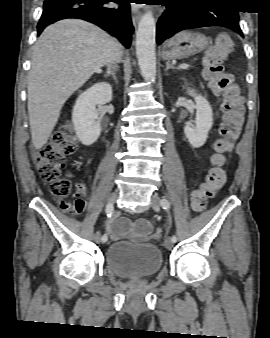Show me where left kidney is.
<instances>
[{
	"label": "left kidney",
	"mask_w": 270,
	"mask_h": 338,
	"mask_svg": "<svg viewBox=\"0 0 270 338\" xmlns=\"http://www.w3.org/2000/svg\"><path fill=\"white\" fill-rule=\"evenodd\" d=\"M196 103V118L194 125H186L184 133L192 147L198 148L204 145L208 138V132L213 125L212 108L206 98L196 94L192 90L187 92Z\"/></svg>",
	"instance_id": "5707ae66"
}]
</instances>
